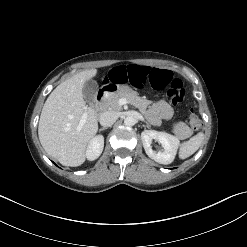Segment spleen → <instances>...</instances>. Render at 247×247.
Returning a JSON list of instances; mask_svg holds the SVG:
<instances>
[{"mask_svg": "<svg viewBox=\"0 0 247 247\" xmlns=\"http://www.w3.org/2000/svg\"><path fill=\"white\" fill-rule=\"evenodd\" d=\"M203 140H204V134L200 132L195 136H193L192 138H190L188 141L184 142L180 147L179 157L181 159H186L190 157L199 149Z\"/></svg>", "mask_w": 247, "mask_h": 247, "instance_id": "spleen-1", "label": "spleen"}]
</instances>
